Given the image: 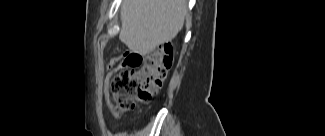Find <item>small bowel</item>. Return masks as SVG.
<instances>
[{
    "instance_id": "small-bowel-1",
    "label": "small bowel",
    "mask_w": 325,
    "mask_h": 136,
    "mask_svg": "<svg viewBox=\"0 0 325 136\" xmlns=\"http://www.w3.org/2000/svg\"><path fill=\"white\" fill-rule=\"evenodd\" d=\"M121 62L112 59L107 67V76L105 83L104 98L106 105L110 111L115 113L112 107V103L109 98H119L120 93L123 92L124 83L128 82L130 74H132L133 69H138L142 67L144 63V58L141 53H134L133 48H128L127 53H122ZM119 68L121 70H119Z\"/></svg>"
}]
</instances>
